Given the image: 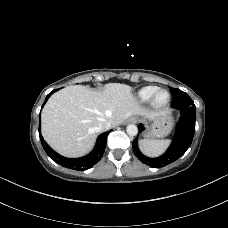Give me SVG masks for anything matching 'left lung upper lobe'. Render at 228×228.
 <instances>
[{"mask_svg": "<svg viewBox=\"0 0 228 228\" xmlns=\"http://www.w3.org/2000/svg\"><path fill=\"white\" fill-rule=\"evenodd\" d=\"M170 92L171 94L174 96V98H182V97H186L187 94L183 91H181L180 89H175L170 87Z\"/></svg>", "mask_w": 228, "mask_h": 228, "instance_id": "5c2ea615", "label": "left lung upper lobe"}]
</instances>
